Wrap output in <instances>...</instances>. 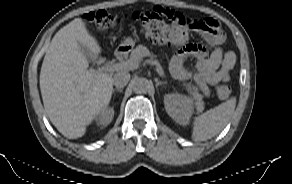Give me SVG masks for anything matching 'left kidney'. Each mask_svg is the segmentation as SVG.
<instances>
[{"instance_id": "obj_1", "label": "left kidney", "mask_w": 292, "mask_h": 184, "mask_svg": "<svg viewBox=\"0 0 292 184\" xmlns=\"http://www.w3.org/2000/svg\"><path fill=\"white\" fill-rule=\"evenodd\" d=\"M164 105L168 115L180 125H187L194 112L193 100L179 93L166 94Z\"/></svg>"}]
</instances>
